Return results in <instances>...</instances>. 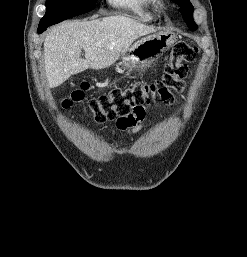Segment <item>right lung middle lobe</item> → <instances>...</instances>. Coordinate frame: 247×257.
I'll return each mask as SVG.
<instances>
[{"label": "right lung middle lobe", "mask_w": 247, "mask_h": 257, "mask_svg": "<svg viewBox=\"0 0 247 257\" xmlns=\"http://www.w3.org/2000/svg\"><path fill=\"white\" fill-rule=\"evenodd\" d=\"M97 0H46V13L39 25H54L63 20L87 13Z\"/></svg>", "instance_id": "right-lung-middle-lobe-1"}]
</instances>
